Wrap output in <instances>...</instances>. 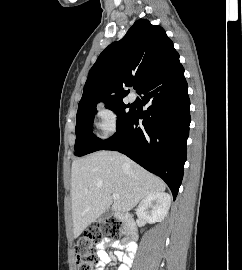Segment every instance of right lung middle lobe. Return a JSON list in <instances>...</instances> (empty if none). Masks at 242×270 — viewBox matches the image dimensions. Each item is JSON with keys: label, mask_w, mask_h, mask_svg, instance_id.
<instances>
[{"label": "right lung middle lobe", "mask_w": 242, "mask_h": 270, "mask_svg": "<svg viewBox=\"0 0 242 270\" xmlns=\"http://www.w3.org/2000/svg\"><path fill=\"white\" fill-rule=\"evenodd\" d=\"M106 107L113 110L118 117L117 132L107 140H101L92 134V124L96 112V106L77 112L76 117V141L75 153L76 156H83L94 151L101 150L127 123L133 110H127L128 105L123 103V100L106 102Z\"/></svg>", "instance_id": "right-lung-middle-lobe-1"}]
</instances>
